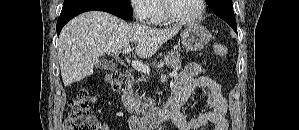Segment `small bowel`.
<instances>
[{
	"label": "small bowel",
	"mask_w": 299,
	"mask_h": 130,
	"mask_svg": "<svg viewBox=\"0 0 299 130\" xmlns=\"http://www.w3.org/2000/svg\"><path fill=\"white\" fill-rule=\"evenodd\" d=\"M196 87H202L207 92L209 111L187 119L179 113L173 123L179 130H198L209 123L214 125L213 130H228L229 124L226 119L228 111L227 100L222 94L220 85L211 79L206 69L198 63L186 65L175 79L176 93L187 94L188 97ZM104 130H109L107 124H103Z\"/></svg>",
	"instance_id": "obj_1"
}]
</instances>
